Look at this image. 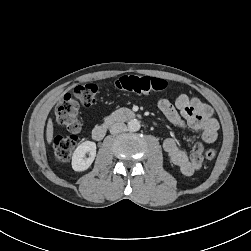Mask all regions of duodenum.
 <instances>
[{
  "mask_svg": "<svg viewBox=\"0 0 251 251\" xmlns=\"http://www.w3.org/2000/svg\"><path fill=\"white\" fill-rule=\"evenodd\" d=\"M133 118H135V113L131 110L119 109L108 115L101 124L93 128L92 137L94 140L100 141L105 137L107 130L111 126Z\"/></svg>",
  "mask_w": 251,
  "mask_h": 251,
  "instance_id": "duodenum-1",
  "label": "duodenum"
}]
</instances>
